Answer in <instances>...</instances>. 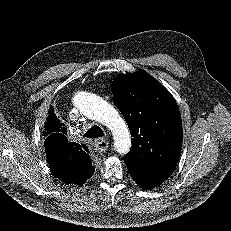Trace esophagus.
Segmentation results:
<instances>
[{
  "instance_id": "1",
  "label": "esophagus",
  "mask_w": 231,
  "mask_h": 231,
  "mask_svg": "<svg viewBox=\"0 0 231 231\" xmlns=\"http://www.w3.org/2000/svg\"><path fill=\"white\" fill-rule=\"evenodd\" d=\"M109 148V141L106 139H99L95 143V150L97 152H105Z\"/></svg>"
}]
</instances>
